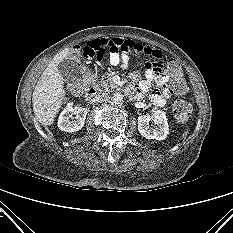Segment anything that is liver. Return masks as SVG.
<instances>
[{
	"instance_id": "6515ba94",
	"label": "liver",
	"mask_w": 233,
	"mask_h": 233,
	"mask_svg": "<svg viewBox=\"0 0 233 233\" xmlns=\"http://www.w3.org/2000/svg\"><path fill=\"white\" fill-rule=\"evenodd\" d=\"M70 54L66 48L54 56L43 71L33 91V111L37 120L45 126L51 125L62 105L65 96L64 79L58 64Z\"/></svg>"
}]
</instances>
